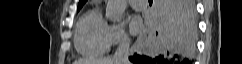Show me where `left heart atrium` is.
Listing matches in <instances>:
<instances>
[{
  "label": "left heart atrium",
  "instance_id": "left-heart-atrium-1",
  "mask_svg": "<svg viewBox=\"0 0 242 64\" xmlns=\"http://www.w3.org/2000/svg\"><path fill=\"white\" fill-rule=\"evenodd\" d=\"M130 28H131V31L134 33V34H138V33H141L142 32V23L141 21L139 20V18L137 17H132L130 19Z\"/></svg>",
  "mask_w": 242,
  "mask_h": 64
}]
</instances>
